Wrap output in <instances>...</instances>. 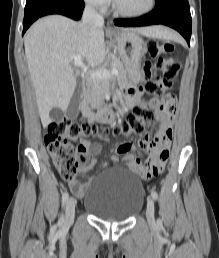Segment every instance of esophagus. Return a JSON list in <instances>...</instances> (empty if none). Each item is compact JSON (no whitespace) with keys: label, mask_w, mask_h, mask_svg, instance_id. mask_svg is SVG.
<instances>
[{"label":"esophagus","mask_w":219,"mask_h":258,"mask_svg":"<svg viewBox=\"0 0 219 258\" xmlns=\"http://www.w3.org/2000/svg\"><path fill=\"white\" fill-rule=\"evenodd\" d=\"M109 30H112V28H111V27H109Z\"/></svg>","instance_id":"1"}]
</instances>
